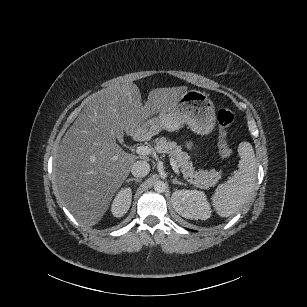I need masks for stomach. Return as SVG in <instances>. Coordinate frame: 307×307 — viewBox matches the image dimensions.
Here are the masks:
<instances>
[{
  "mask_svg": "<svg viewBox=\"0 0 307 307\" xmlns=\"http://www.w3.org/2000/svg\"><path fill=\"white\" fill-rule=\"evenodd\" d=\"M215 120L214 107L204 92L190 89L182 94L171 107L162 108L149 117L142 127L155 136L162 131L174 132L188 125L198 134H208Z\"/></svg>",
  "mask_w": 307,
  "mask_h": 307,
  "instance_id": "obj_1",
  "label": "stomach"
}]
</instances>
